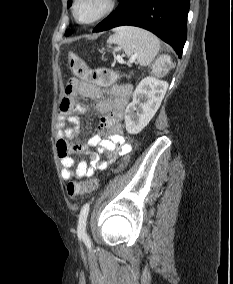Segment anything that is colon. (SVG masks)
<instances>
[{"instance_id": "obj_1", "label": "colon", "mask_w": 233, "mask_h": 284, "mask_svg": "<svg viewBox=\"0 0 233 284\" xmlns=\"http://www.w3.org/2000/svg\"><path fill=\"white\" fill-rule=\"evenodd\" d=\"M68 63L73 74L78 78L100 86L113 84L119 78V73L109 68L91 69L85 61L75 53L68 54ZM172 58L168 54L160 55L153 64L154 74L158 78L164 77L172 68ZM96 179L81 182H70L67 185L69 197H77L93 192L97 188Z\"/></svg>"}]
</instances>
